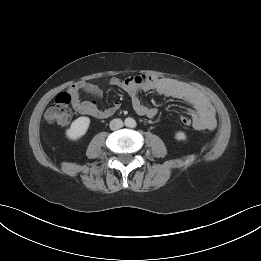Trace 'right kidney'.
Instances as JSON below:
<instances>
[{
	"mask_svg": "<svg viewBox=\"0 0 261 261\" xmlns=\"http://www.w3.org/2000/svg\"><path fill=\"white\" fill-rule=\"evenodd\" d=\"M90 125V119L85 116H81L74 120L70 128L66 130V137L70 140H78L86 134Z\"/></svg>",
	"mask_w": 261,
	"mask_h": 261,
	"instance_id": "right-kidney-1",
	"label": "right kidney"
}]
</instances>
